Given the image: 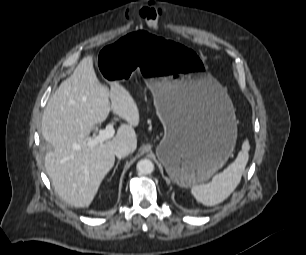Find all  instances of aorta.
<instances>
[{
  "instance_id": "aorta-1",
  "label": "aorta",
  "mask_w": 306,
  "mask_h": 255,
  "mask_svg": "<svg viewBox=\"0 0 306 255\" xmlns=\"http://www.w3.org/2000/svg\"><path fill=\"white\" fill-rule=\"evenodd\" d=\"M136 169L140 174H151L154 170V164L149 159H141L138 161Z\"/></svg>"
}]
</instances>
